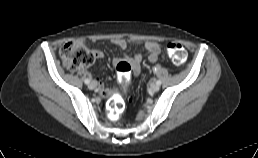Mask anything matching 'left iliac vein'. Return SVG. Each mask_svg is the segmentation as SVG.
<instances>
[{"label":"left iliac vein","mask_w":258,"mask_h":158,"mask_svg":"<svg viewBox=\"0 0 258 158\" xmlns=\"http://www.w3.org/2000/svg\"><path fill=\"white\" fill-rule=\"evenodd\" d=\"M150 88L153 92H157L160 89V86L156 83H153L151 84Z\"/></svg>","instance_id":"left-iliac-vein-1"}]
</instances>
